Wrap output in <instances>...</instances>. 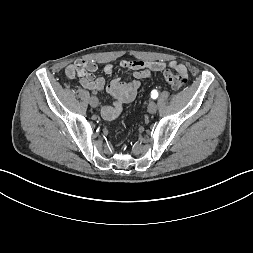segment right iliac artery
I'll use <instances>...</instances> for the list:
<instances>
[{"instance_id":"1","label":"right iliac artery","mask_w":253,"mask_h":253,"mask_svg":"<svg viewBox=\"0 0 253 253\" xmlns=\"http://www.w3.org/2000/svg\"><path fill=\"white\" fill-rule=\"evenodd\" d=\"M96 94H97V92H96V91H93V92H92V95H96Z\"/></svg>"}]
</instances>
